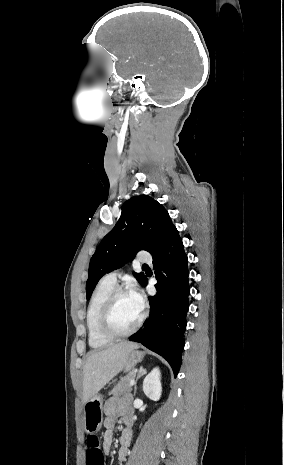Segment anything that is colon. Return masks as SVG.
Instances as JSON below:
<instances>
[{"label":"colon","mask_w":284,"mask_h":465,"mask_svg":"<svg viewBox=\"0 0 284 465\" xmlns=\"http://www.w3.org/2000/svg\"><path fill=\"white\" fill-rule=\"evenodd\" d=\"M87 442L92 445H98V439L94 435H89L87 437ZM86 454V465H104V461L102 459L103 454L100 451L99 446H86L84 449Z\"/></svg>","instance_id":"obj_1"}]
</instances>
